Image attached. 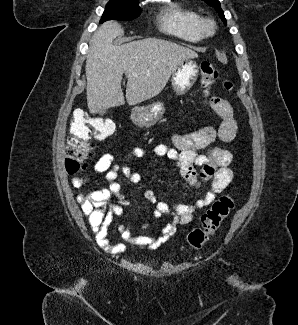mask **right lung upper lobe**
Here are the masks:
<instances>
[{
  "label": "right lung upper lobe",
  "instance_id": "1",
  "mask_svg": "<svg viewBox=\"0 0 298 325\" xmlns=\"http://www.w3.org/2000/svg\"><path fill=\"white\" fill-rule=\"evenodd\" d=\"M110 1H118V2H135V3H138L137 0H110Z\"/></svg>",
  "mask_w": 298,
  "mask_h": 325
}]
</instances>
